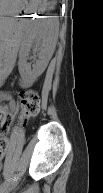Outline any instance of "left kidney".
I'll return each mask as SVG.
<instances>
[{
	"label": "left kidney",
	"mask_w": 103,
	"mask_h": 193,
	"mask_svg": "<svg viewBox=\"0 0 103 193\" xmlns=\"http://www.w3.org/2000/svg\"><path fill=\"white\" fill-rule=\"evenodd\" d=\"M33 28L31 39L24 44L19 53L18 69L22 78L34 82L46 69L54 52V45L58 38L59 23L57 19L51 16H41ZM35 44L36 50L39 51V59L36 66L31 69L27 63L32 45Z\"/></svg>",
	"instance_id": "1"
}]
</instances>
